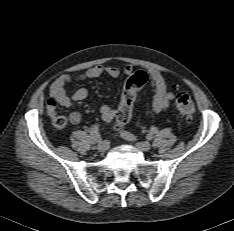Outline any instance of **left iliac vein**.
I'll return each instance as SVG.
<instances>
[{
	"label": "left iliac vein",
	"instance_id": "left-iliac-vein-1",
	"mask_svg": "<svg viewBox=\"0 0 234 231\" xmlns=\"http://www.w3.org/2000/svg\"><path fill=\"white\" fill-rule=\"evenodd\" d=\"M136 146L143 152H147L151 149V144L147 141L138 142Z\"/></svg>",
	"mask_w": 234,
	"mask_h": 231
}]
</instances>
